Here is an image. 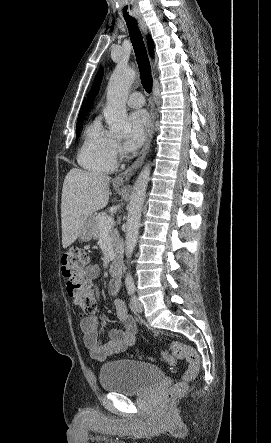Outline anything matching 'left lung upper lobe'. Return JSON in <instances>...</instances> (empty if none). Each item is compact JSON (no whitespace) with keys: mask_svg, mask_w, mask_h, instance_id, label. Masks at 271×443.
<instances>
[{"mask_svg":"<svg viewBox=\"0 0 271 443\" xmlns=\"http://www.w3.org/2000/svg\"><path fill=\"white\" fill-rule=\"evenodd\" d=\"M102 77H103V68H101L99 70V72L97 73V76H96L95 81H94V83L92 85L91 91L88 94V98H87V100H88V102H87L88 110H90L91 105H92V103L94 101V98H95V96L97 95V93L99 91V87H100V84H101Z\"/></svg>","mask_w":271,"mask_h":443,"instance_id":"obj_1","label":"left lung upper lobe"}]
</instances>
